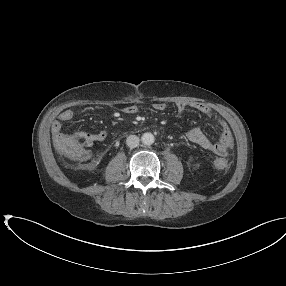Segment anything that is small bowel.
I'll return each instance as SVG.
<instances>
[{
    "instance_id": "c3829d8e",
    "label": "small bowel",
    "mask_w": 286,
    "mask_h": 286,
    "mask_svg": "<svg viewBox=\"0 0 286 286\" xmlns=\"http://www.w3.org/2000/svg\"><path fill=\"white\" fill-rule=\"evenodd\" d=\"M153 109L155 111H164L166 109V104L162 102H157L153 104ZM187 108H191L200 113L205 114L210 119H212L221 129V136L219 141L214 142L209 139L200 128H192L190 129L186 137L187 139L197 145L198 147L211 151L220 156H226L232 150L234 145V139L228 124L219 119L214 115L211 108L202 102H190L186 103L183 101H179L175 104V109L178 113H183ZM124 113L133 115L138 112V106L135 104L128 105L123 109ZM75 116V113L72 109L63 110L58 118L59 121H55L52 124L51 132L53 137H55L58 133H63V126L61 122H69ZM76 134L82 135L85 138V145L87 147H92L96 142H102L107 138L106 131H98V132H78Z\"/></svg>"
}]
</instances>
